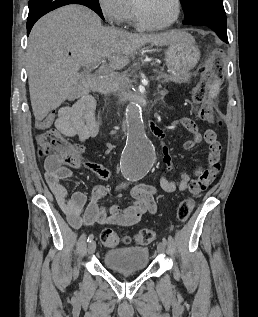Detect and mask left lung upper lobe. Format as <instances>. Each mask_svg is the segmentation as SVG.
Instances as JSON below:
<instances>
[{
	"mask_svg": "<svg viewBox=\"0 0 258 317\" xmlns=\"http://www.w3.org/2000/svg\"><path fill=\"white\" fill-rule=\"evenodd\" d=\"M184 10V23L188 25L212 24L226 28L223 0H180Z\"/></svg>",
	"mask_w": 258,
	"mask_h": 317,
	"instance_id": "left-lung-upper-lobe-1",
	"label": "left lung upper lobe"
}]
</instances>
